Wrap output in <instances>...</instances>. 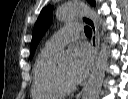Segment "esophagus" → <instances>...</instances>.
<instances>
[{
    "label": "esophagus",
    "mask_w": 128,
    "mask_h": 99,
    "mask_svg": "<svg viewBox=\"0 0 128 99\" xmlns=\"http://www.w3.org/2000/svg\"><path fill=\"white\" fill-rule=\"evenodd\" d=\"M82 21L85 22L92 29L91 44L94 50V61H93L94 64L98 56V48H99V35H98L97 26L94 20L87 14L82 16ZM81 96H82V91L76 96V98L80 99Z\"/></svg>",
    "instance_id": "obj_1"
}]
</instances>
